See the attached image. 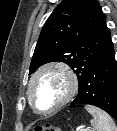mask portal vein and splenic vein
Listing matches in <instances>:
<instances>
[{"label":"portal vein and splenic vein","mask_w":117,"mask_h":131,"mask_svg":"<svg viewBox=\"0 0 117 131\" xmlns=\"http://www.w3.org/2000/svg\"><path fill=\"white\" fill-rule=\"evenodd\" d=\"M82 130H83V131H88L89 129H88V128H83Z\"/></svg>","instance_id":"portal-vein-and-splenic-vein-1"}]
</instances>
